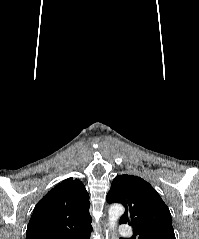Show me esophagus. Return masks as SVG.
Returning <instances> with one entry per match:
<instances>
[{
  "instance_id": "1",
  "label": "esophagus",
  "mask_w": 199,
  "mask_h": 239,
  "mask_svg": "<svg viewBox=\"0 0 199 239\" xmlns=\"http://www.w3.org/2000/svg\"><path fill=\"white\" fill-rule=\"evenodd\" d=\"M105 234H106V239H109V230L107 226L105 227Z\"/></svg>"
}]
</instances>
